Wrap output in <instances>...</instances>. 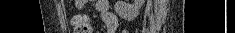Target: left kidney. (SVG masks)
Returning <instances> with one entry per match:
<instances>
[{"instance_id": "obj_1", "label": "left kidney", "mask_w": 235, "mask_h": 33, "mask_svg": "<svg viewBox=\"0 0 235 33\" xmlns=\"http://www.w3.org/2000/svg\"><path fill=\"white\" fill-rule=\"evenodd\" d=\"M144 2L145 0H134L132 4H128L125 0H117L114 5L115 12L119 17L131 21L137 17Z\"/></svg>"}]
</instances>
